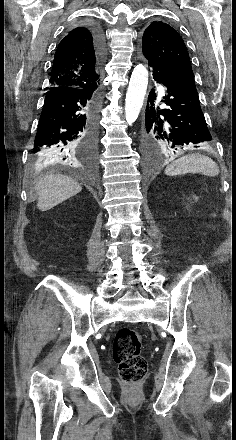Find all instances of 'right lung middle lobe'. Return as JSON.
Here are the masks:
<instances>
[{"label": "right lung middle lobe", "mask_w": 236, "mask_h": 440, "mask_svg": "<svg viewBox=\"0 0 236 440\" xmlns=\"http://www.w3.org/2000/svg\"><path fill=\"white\" fill-rule=\"evenodd\" d=\"M33 162L36 163V164H39V163H42V162H43V159H42V157H40V156H36V155H34V156H33Z\"/></svg>", "instance_id": "1"}]
</instances>
